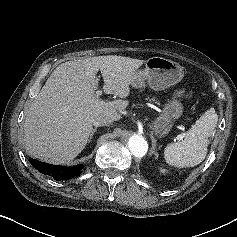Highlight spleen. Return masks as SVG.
<instances>
[{
	"instance_id": "spleen-1",
	"label": "spleen",
	"mask_w": 237,
	"mask_h": 237,
	"mask_svg": "<svg viewBox=\"0 0 237 237\" xmlns=\"http://www.w3.org/2000/svg\"><path fill=\"white\" fill-rule=\"evenodd\" d=\"M218 121L214 108H210L186 132L185 139L181 142L169 144L164 151L167 164L178 167H194L206 157L209 140L213 135Z\"/></svg>"
}]
</instances>
